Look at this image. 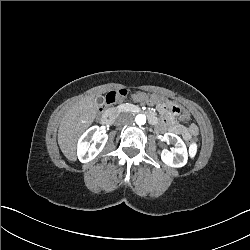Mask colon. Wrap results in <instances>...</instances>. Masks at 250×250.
Masks as SVG:
<instances>
[{"mask_svg":"<svg viewBox=\"0 0 250 250\" xmlns=\"http://www.w3.org/2000/svg\"><path fill=\"white\" fill-rule=\"evenodd\" d=\"M138 94H139L138 99L147 98V95L145 93H138ZM127 95H128V91L127 89H124V88L110 91L105 96V102L106 104H113L115 102L124 100L127 97ZM195 141H196L195 138L191 136L188 138L186 143L188 146L191 147L194 145Z\"/></svg>","mask_w":250,"mask_h":250,"instance_id":"1","label":"colon"}]
</instances>
